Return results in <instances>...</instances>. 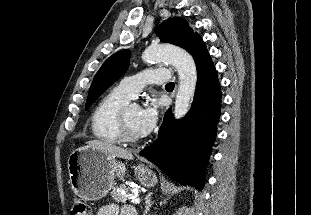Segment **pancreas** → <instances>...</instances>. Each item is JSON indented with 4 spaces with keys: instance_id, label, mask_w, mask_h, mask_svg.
<instances>
[{
    "instance_id": "obj_1",
    "label": "pancreas",
    "mask_w": 311,
    "mask_h": 215,
    "mask_svg": "<svg viewBox=\"0 0 311 215\" xmlns=\"http://www.w3.org/2000/svg\"><path fill=\"white\" fill-rule=\"evenodd\" d=\"M134 190H135L134 187L129 188L126 187L125 185H120L117 188L113 189V191L111 192V196L116 202L125 203L128 200L129 191L133 192ZM121 191H124L125 194H122Z\"/></svg>"
}]
</instances>
